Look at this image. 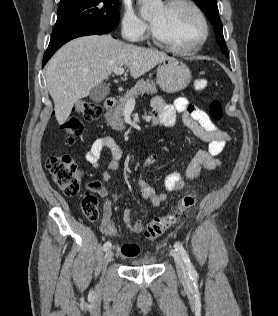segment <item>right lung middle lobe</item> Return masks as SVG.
I'll list each match as a JSON object with an SVG mask.
<instances>
[{
	"label": "right lung middle lobe",
	"mask_w": 278,
	"mask_h": 316,
	"mask_svg": "<svg viewBox=\"0 0 278 316\" xmlns=\"http://www.w3.org/2000/svg\"><path fill=\"white\" fill-rule=\"evenodd\" d=\"M118 22V0H61L52 38L87 27H115Z\"/></svg>",
	"instance_id": "right-lung-middle-lobe-1"
}]
</instances>
